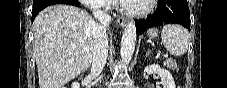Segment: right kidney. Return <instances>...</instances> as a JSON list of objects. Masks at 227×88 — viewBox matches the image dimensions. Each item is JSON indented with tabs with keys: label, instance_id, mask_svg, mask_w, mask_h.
<instances>
[{
	"label": "right kidney",
	"instance_id": "1",
	"mask_svg": "<svg viewBox=\"0 0 227 88\" xmlns=\"http://www.w3.org/2000/svg\"><path fill=\"white\" fill-rule=\"evenodd\" d=\"M72 88H80V84L78 82H74L71 85Z\"/></svg>",
	"mask_w": 227,
	"mask_h": 88
}]
</instances>
